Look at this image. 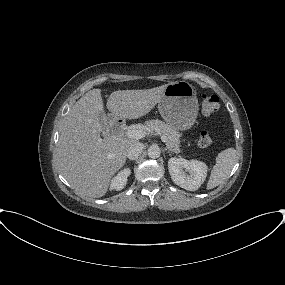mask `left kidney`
<instances>
[{"instance_id":"5707ae66","label":"left kidney","mask_w":285,"mask_h":285,"mask_svg":"<svg viewBox=\"0 0 285 285\" xmlns=\"http://www.w3.org/2000/svg\"><path fill=\"white\" fill-rule=\"evenodd\" d=\"M172 181L183 189L196 191L205 181L208 167L198 160L172 157L168 161ZM185 172H189V175Z\"/></svg>"}]
</instances>
